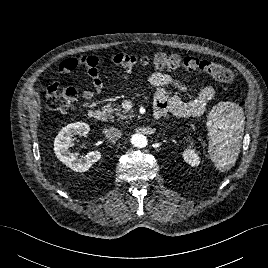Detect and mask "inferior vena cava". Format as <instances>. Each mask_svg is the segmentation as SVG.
Wrapping results in <instances>:
<instances>
[{
  "label": "inferior vena cava",
  "mask_w": 268,
  "mask_h": 268,
  "mask_svg": "<svg viewBox=\"0 0 268 268\" xmlns=\"http://www.w3.org/2000/svg\"><path fill=\"white\" fill-rule=\"evenodd\" d=\"M122 136V131L118 128L111 127L109 129H106L105 131V137L110 142H116L119 140Z\"/></svg>",
  "instance_id": "obj_1"
}]
</instances>
